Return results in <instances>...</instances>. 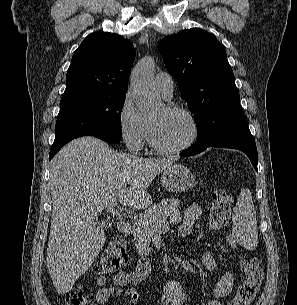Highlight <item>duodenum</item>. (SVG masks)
Instances as JSON below:
<instances>
[{
  "label": "duodenum",
  "instance_id": "obj_1",
  "mask_svg": "<svg viewBox=\"0 0 297 305\" xmlns=\"http://www.w3.org/2000/svg\"><path fill=\"white\" fill-rule=\"evenodd\" d=\"M117 226L119 231L124 235H129L132 230L131 223L128 220L119 221Z\"/></svg>",
  "mask_w": 297,
  "mask_h": 305
}]
</instances>
